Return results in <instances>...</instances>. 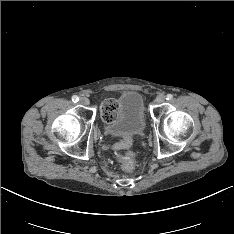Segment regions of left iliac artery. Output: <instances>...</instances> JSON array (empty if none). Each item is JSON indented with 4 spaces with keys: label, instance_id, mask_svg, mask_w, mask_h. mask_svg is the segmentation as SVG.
I'll return each instance as SVG.
<instances>
[{
    "label": "left iliac artery",
    "instance_id": "left-iliac-artery-1",
    "mask_svg": "<svg viewBox=\"0 0 234 234\" xmlns=\"http://www.w3.org/2000/svg\"><path fill=\"white\" fill-rule=\"evenodd\" d=\"M173 98V95L172 94H167V96H166V99L167 100H171Z\"/></svg>",
    "mask_w": 234,
    "mask_h": 234
}]
</instances>
